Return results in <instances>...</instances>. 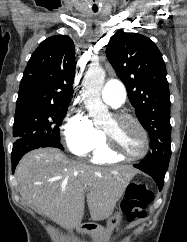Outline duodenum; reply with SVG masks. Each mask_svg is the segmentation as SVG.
I'll list each match as a JSON object with an SVG mask.
<instances>
[{"instance_id":"duodenum-1","label":"duodenum","mask_w":187,"mask_h":242,"mask_svg":"<svg viewBox=\"0 0 187 242\" xmlns=\"http://www.w3.org/2000/svg\"><path fill=\"white\" fill-rule=\"evenodd\" d=\"M77 230L81 234H90L93 232L94 228L89 223H82V224L78 225Z\"/></svg>"}]
</instances>
